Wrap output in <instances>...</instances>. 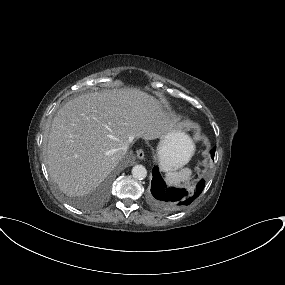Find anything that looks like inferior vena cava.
Wrapping results in <instances>:
<instances>
[{
  "mask_svg": "<svg viewBox=\"0 0 285 285\" xmlns=\"http://www.w3.org/2000/svg\"><path fill=\"white\" fill-rule=\"evenodd\" d=\"M127 149H128V146L127 145H123L121 148H120V153L122 155H124L126 152H127Z\"/></svg>",
  "mask_w": 285,
  "mask_h": 285,
  "instance_id": "602c4592",
  "label": "inferior vena cava"
}]
</instances>
